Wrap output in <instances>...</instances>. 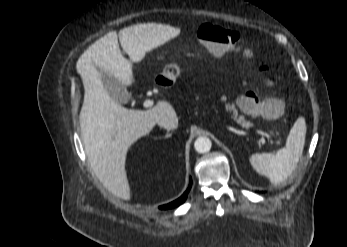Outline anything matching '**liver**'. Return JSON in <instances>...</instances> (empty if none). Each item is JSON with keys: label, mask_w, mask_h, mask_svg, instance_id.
I'll list each match as a JSON object with an SVG mask.
<instances>
[{"label": "liver", "mask_w": 347, "mask_h": 247, "mask_svg": "<svg viewBox=\"0 0 347 247\" xmlns=\"http://www.w3.org/2000/svg\"><path fill=\"white\" fill-rule=\"evenodd\" d=\"M178 33L179 29L170 25L146 23L124 28L118 36L131 61L140 62L147 51L164 44ZM76 69L85 89L79 119L90 166L114 195L130 199L125 171L128 149L150 133L159 117L168 114L176 116L175 110L167 101H159L145 111L129 110L107 93L97 69L109 73L124 86L133 83L132 65L121 54L116 31L95 41L80 56Z\"/></svg>", "instance_id": "1"}]
</instances>
